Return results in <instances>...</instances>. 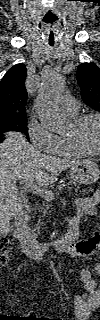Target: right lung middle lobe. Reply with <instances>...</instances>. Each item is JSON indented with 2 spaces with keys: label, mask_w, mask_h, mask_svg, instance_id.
<instances>
[{
  "label": "right lung middle lobe",
  "mask_w": 100,
  "mask_h": 320,
  "mask_svg": "<svg viewBox=\"0 0 100 320\" xmlns=\"http://www.w3.org/2000/svg\"><path fill=\"white\" fill-rule=\"evenodd\" d=\"M27 118L26 117H15L9 119L0 120V135L4 132L16 131L24 133L28 136L27 128ZM3 136H1L2 138ZM1 139L0 141H2Z\"/></svg>",
  "instance_id": "1"
}]
</instances>
